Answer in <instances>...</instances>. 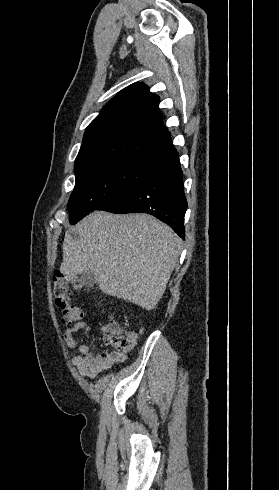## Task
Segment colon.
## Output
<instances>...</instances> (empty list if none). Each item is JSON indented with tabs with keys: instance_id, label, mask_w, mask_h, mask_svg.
<instances>
[{
	"instance_id": "obj_1",
	"label": "colon",
	"mask_w": 279,
	"mask_h": 490,
	"mask_svg": "<svg viewBox=\"0 0 279 490\" xmlns=\"http://www.w3.org/2000/svg\"><path fill=\"white\" fill-rule=\"evenodd\" d=\"M72 284L82 288L78 279L63 273L56 274L51 282L53 297L62 307L61 321L67 325L81 321L84 317V310L75 305L71 298L70 286ZM103 337L109 340L112 349H115L118 354H125L134 348L138 333L110 325L109 329L103 330Z\"/></svg>"
}]
</instances>
